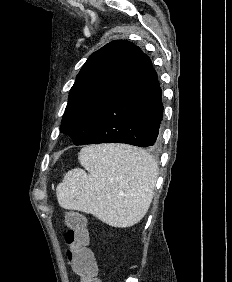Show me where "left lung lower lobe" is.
<instances>
[{
  "instance_id": "obj_1",
  "label": "left lung lower lobe",
  "mask_w": 232,
  "mask_h": 282,
  "mask_svg": "<svg viewBox=\"0 0 232 282\" xmlns=\"http://www.w3.org/2000/svg\"><path fill=\"white\" fill-rule=\"evenodd\" d=\"M162 117L157 73L143 53L125 83L102 106L89 139L77 145L126 143L155 148Z\"/></svg>"
}]
</instances>
